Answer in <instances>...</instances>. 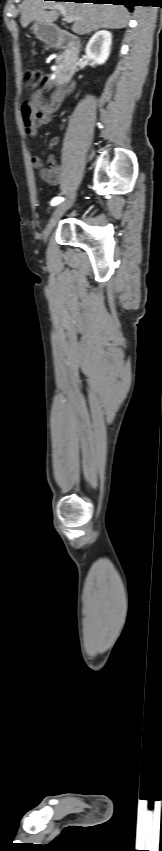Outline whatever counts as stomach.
<instances>
[{
    "label": "stomach",
    "instance_id": "1",
    "mask_svg": "<svg viewBox=\"0 0 162 851\" xmlns=\"http://www.w3.org/2000/svg\"><path fill=\"white\" fill-rule=\"evenodd\" d=\"M32 29L36 37L45 43H54L59 38L58 30L54 25L35 22Z\"/></svg>",
    "mask_w": 162,
    "mask_h": 851
}]
</instances>
